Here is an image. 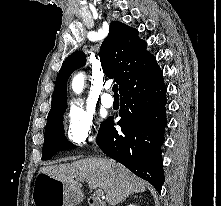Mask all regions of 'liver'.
<instances>
[{
    "label": "liver",
    "mask_w": 221,
    "mask_h": 206,
    "mask_svg": "<svg viewBox=\"0 0 221 206\" xmlns=\"http://www.w3.org/2000/svg\"><path fill=\"white\" fill-rule=\"evenodd\" d=\"M39 173L51 176L73 187H80L79 181L98 187L106 195V202L115 206L134 193L144 192L147 183L114 160L92 157L73 163L42 167Z\"/></svg>",
    "instance_id": "6515ba94"
}]
</instances>
